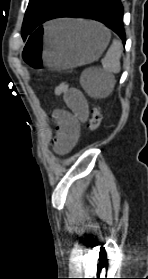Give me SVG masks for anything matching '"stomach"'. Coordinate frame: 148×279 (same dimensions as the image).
Instances as JSON below:
<instances>
[{
	"label": "stomach",
	"mask_w": 148,
	"mask_h": 279,
	"mask_svg": "<svg viewBox=\"0 0 148 279\" xmlns=\"http://www.w3.org/2000/svg\"><path fill=\"white\" fill-rule=\"evenodd\" d=\"M43 34H28L25 45V72H48V69H74L97 60L107 47L110 33L93 23L63 20L38 24ZM37 49V50H33Z\"/></svg>",
	"instance_id": "0dacf381"
}]
</instances>
